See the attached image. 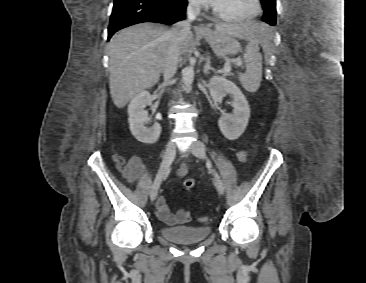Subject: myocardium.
Masks as SVG:
<instances>
[{
	"instance_id": "f54148a6",
	"label": "myocardium",
	"mask_w": 366,
	"mask_h": 283,
	"mask_svg": "<svg viewBox=\"0 0 366 283\" xmlns=\"http://www.w3.org/2000/svg\"><path fill=\"white\" fill-rule=\"evenodd\" d=\"M254 8L253 11L247 15H228L220 12L215 5H212V12L217 19L223 22H243L256 18L262 11L261 0H253Z\"/></svg>"
}]
</instances>
